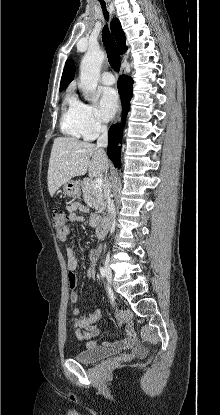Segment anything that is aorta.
Wrapping results in <instances>:
<instances>
[{
    "instance_id": "762f6f07",
    "label": "aorta",
    "mask_w": 220,
    "mask_h": 415,
    "mask_svg": "<svg viewBox=\"0 0 220 415\" xmlns=\"http://www.w3.org/2000/svg\"><path fill=\"white\" fill-rule=\"evenodd\" d=\"M105 54L99 49H89L84 55L80 65V87L84 98L96 102L98 78Z\"/></svg>"
}]
</instances>
